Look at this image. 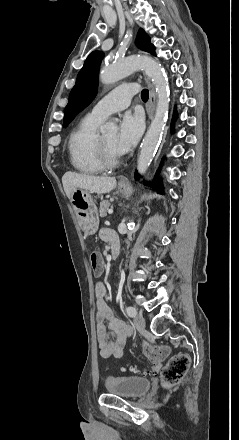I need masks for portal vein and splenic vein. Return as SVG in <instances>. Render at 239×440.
Segmentation results:
<instances>
[{
  "instance_id": "portal-vein-and-splenic-vein-1",
  "label": "portal vein and splenic vein",
  "mask_w": 239,
  "mask_h": 440,
  "mask_svg": "<svg viewBox=\"0 0 239 440\" xmlns=\"http://www.w3.org/2000/svg\"><path fill=\"white\" fill-rule=\"evenodd\" d=\"M112 212H113V209H109V213H108V214H109V215H110V214L112 215V214H113Z\"/></svg>"
}]
</instances>
